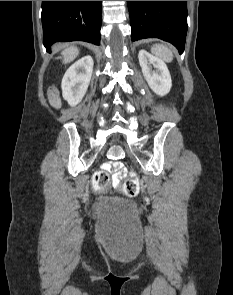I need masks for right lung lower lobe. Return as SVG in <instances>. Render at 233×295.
Returning <instances> with one entry per match:
<instances>
[{"label":"right lung lower lobe","mask_w":233,"mask_h":295,"mask_svg":"<svg viewBox=\"0 0 233 295\" xmlns=\"http://www.w3.org/2000/svg\"><path fill=\"white\" fill-rule=\"evenodd\" d=\"M43 43L57 41L100 44L101 1H42Z\"/></svg>","instance_id":"98d812e1"}]
</instances>
